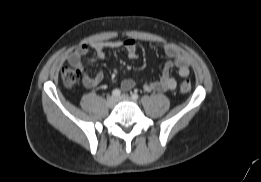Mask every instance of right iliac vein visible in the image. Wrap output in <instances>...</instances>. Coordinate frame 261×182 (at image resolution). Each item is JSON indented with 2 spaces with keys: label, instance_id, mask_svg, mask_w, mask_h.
<instances>
[{
  "label": "right iliac vein",
  "instance_id": "right-iliac-vein-1",
  "mask_svg": "<svg viewBox=\"0 0 261 182\" xmlns=\"http://www.w3.org/2000/svg\"><path fill=\"white\" fill-rule=\"evenodd\" d=\"M106 104L109 108H113L116 105V98L113 96H109L107 98Z\"/></svg>",
  "mask_w": 261,
  "mask_h": 182
}]
</instances>
